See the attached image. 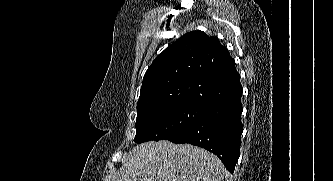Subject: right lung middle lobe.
<instances>
[{
  "label": "right lung middle lobe",
  "mask_w": 333,
  "mask_h": 181,
  "mask_svg": "<svg viewBox=\"0 0 333 181\" xmlns=\"http://www.w3.org/2000/svg\"><path fill=\"white\" fill-rule=\"evenodd\" d=\"M205 107L174 103L152 106L137 111L134 141L172 139L190 127L202 114Z\"/></svg>",
  "instance_id": "obj_1"
}]
</instances>
